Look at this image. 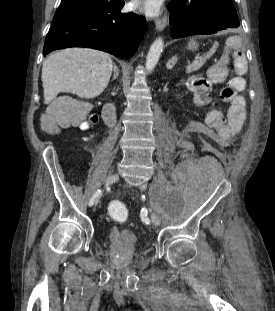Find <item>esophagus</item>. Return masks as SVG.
<instances>
[{"mask_svg": "<svg viewBox=\"0 0 275 311\" xmlns=\"http://www.w3.org/2000/svg\"><path fill=\"white\" fill-rule=\"evenodd\" d=\"M155 25L158 31H162L167 25V17L164 16L163 18H157L155 20Z\"/></svg>", "mask_w": 275, "mask_h": 311, "instance_id": "esophagus-1", "label": "esophagus"}]
</instances>
